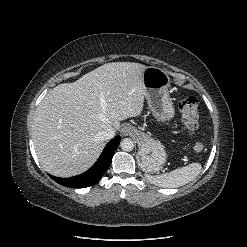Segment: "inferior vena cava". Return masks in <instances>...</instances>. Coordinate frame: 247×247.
<instances>
[{
	"label": "inferior vena cava",
	"mask_w": 247,
	"mask_h": 247,
	"mask_svg": "<svg viewBox=\"0 0 247 247\" xmlns=\"http://www.w3.org/2000/svg\"><path fill=\"white\" fill-rule=\"evenodd\" d=\"M101 136L105 140H110L115 136V129L113 127H108L102 131Z\"/></svg>",
	"instance_id": "1"
}]
</instances>
